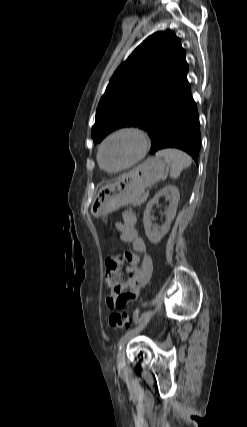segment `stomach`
Here are the masks:
<instances>
[{
  "instance_id": "0dacf381",
  "label": "stomach",
  "mask_w": 247,
  "mask_h": 427,
  "mask_svg": "<svg viewBox=\"0 0 247 427\" xmlns=\"http://www.w3.org/2000/svg\"><path fill=\"white\" fill-rule=\"evenodd\" d=\"M165 165L160 157H150L116 183L101 188L91 204V215L101 218L123 206L134 204L145 189L161 180Z\"/></svg>"
}]
</instances>
